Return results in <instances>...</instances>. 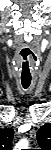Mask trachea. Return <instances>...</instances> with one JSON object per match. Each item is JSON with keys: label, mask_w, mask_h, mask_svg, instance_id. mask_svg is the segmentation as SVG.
Masks as SVG:
<instances>
[{"label": "trachea", "mask_w": 51, "mask_h": 150, "mask_svg": "<svg viewBox=\"0 0 51 150\" xmlns=\"http://www.w3.org/2000/svg\"><path fill=\"white\" fill-rule=\"evenodd\" d=\"M21 82H22L23 88L27 89L30 86L31 78H22Z\"/></svg>", "instance_id": "1"}]
</instances>
